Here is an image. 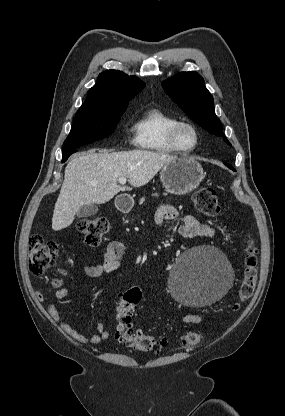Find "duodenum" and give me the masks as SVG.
<instances>
[{"mask_svg":"<svg viewBox=\"0 0 285 416\" xmlns=\"http://www.w3.org/2000/svg\"><path fill=\"white\" fill-rule=\"evenodd\" d=\"M115 205L123 211H128L131 206L134 205V198L131 197L129 193H120L119 196L115 198Z\"/></svg>","mask_w":285,"mask_h":416,"instance_id":"obj_1","label":"duodenum"}]
</instances>
